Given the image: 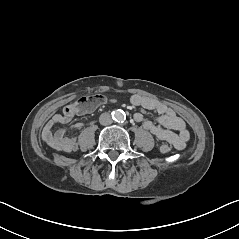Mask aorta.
Returning a JSON list of instances; mask_svg holds the SVG:
<instances>
[{
  "instance_id": "obj_1",
  "label": "aorta",
  "mask_w": 239,
  "mask_h": 239,
  "mask_svg": "<svg viewBox=\"0 0 239 239\" xmlns=\"http://www.w3.org/2000/svg\"><path fill=\"white\" fill-rule=\"evenodd\" d=\"M113 116L114 120L117 122H123L125 120V115L123 112L116 111Z\"/></svg>"
}]
</instances>
